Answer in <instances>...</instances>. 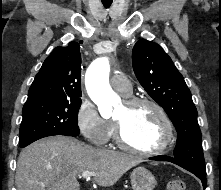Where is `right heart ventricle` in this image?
<instances>
[{
	"mask_svg": "<svg viewBox=\"0 0 221 190\" xmlns=\"http://www.w3.org/2000/svg\"><path fill=\"white\" fill-rule=\"evenodd\" d=\"M126 97H129V95H128V96H126ZM113 134H114V128H113Z\"/></svg>",
	"mask_w": 221,
	"mask_h": 190,
	"instance_id": "obj_1",
	"label": "right heart ventricle"
}]
</instances>
